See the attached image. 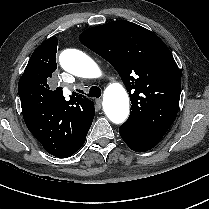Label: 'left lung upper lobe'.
Listing matches in <instances>:
<instances>
[{"mask_svg": "<svg viewBox=\"0 0 209 209\" xmlns=\"http://www.w3.org/2000/svg\"><path fill=\"white\" fill-rule=\"evenodd\" d=\"M79 40L120 75L132 104L124 124L162 139L176 119L181 92L180 71L165 43L126 20L87 29Z\"/></svg>", "mask_w": 209, "mask_h": 209, "instance_id": "obj_1", "label": "left lung upper lobe"}]
</instances>
